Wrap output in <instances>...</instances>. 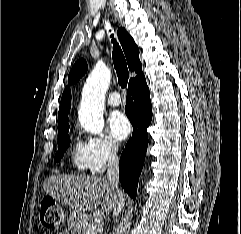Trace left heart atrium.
Returning <instances> with one entry per match:
<instances>
[{"mask_svg": "<svg viewBox=\"0 0 241 234\" xmlns=\"http://www.w3.org/2000/svg\"><path fill=\"white\" fill-rule=\"evenodd\" d=\"M108 125L112 135L118 140H124L131 132L129 119L119 111H115L109 116Z\"/></svg>", "mask_w": 241, "mask_h": 234, "instance_id": "1", "label": "left heart atrium"}]
</instances>
